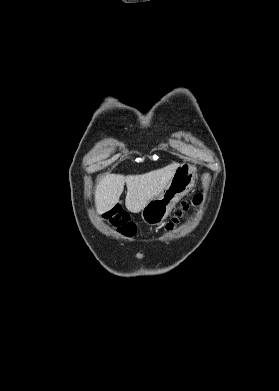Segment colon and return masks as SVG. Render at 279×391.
Masks as SVG:
<instances>
[{"label": "colon", "instance_id": "5ec220e1", "mask_svg": "<svg viewBox=\"0 0 279 391\" xmlns=\"http://www.w3.org/2000/svg\"><path fill=\"white\" fill-rule=\"evenodd\" d=\"M200 201L201 196L196 195L191 201L182 203L180 208L176 210L171 221L167 224L166 228L171 230L177 224L183 214L188 211L191 206L198 205ZM104 219L112 227L116 228L120 234L126 237H131L136 232L135 225L130 221L128 214L119 208H113L112 210L106 212L104 214Z\"/></svg>", "mask_w": 279, "mask_h": 391}]
</instances>
